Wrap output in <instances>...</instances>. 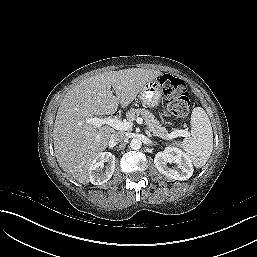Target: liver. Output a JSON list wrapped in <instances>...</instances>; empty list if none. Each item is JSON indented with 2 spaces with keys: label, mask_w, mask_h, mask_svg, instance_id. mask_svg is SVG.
Listing matches in <instances>:
<instances>
[{
  "label": "liver",
  "mask_w": 257,
  "mask_h": 257,
  "mask_svg": "<svg viewBox=\"0 0 257 257\" xmlns=\"http://www.w3.org/2000/svg\"><path fill=\"white\" fill-rule=\"evenodd\" d=\"M162 75L159 70L129 68L89 77L64 96L53 129L59 166L82 184L89 183V167L107 146L115 129L86 123V118L110 115L126 108L143 86ZM114 89L115 94L111 90Z\"/></svg>",
  "instance_id": "1"
}]
</instances>
